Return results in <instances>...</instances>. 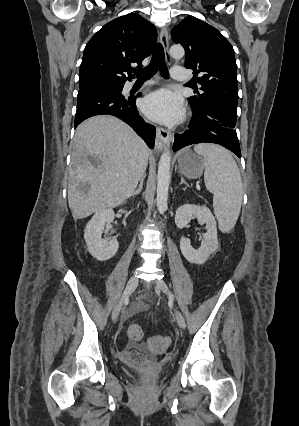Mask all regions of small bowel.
<instances>
[{
	"mask_svg": "<svg viewBox=\"0 0 299 426\" xmlns=\"http://www.w3.org/2000/svg\"><path fill=\"white\" fill-rule=\"evenodd\" d=\"M134 312L146 311V306L142 303H137L134 306ZM119 357L122 361L130 366H144L154 362L151 350L145 345H139L137 342L129 340L124 348L119 351Z\"/></svg>",
	"mask_w": 299,
	"mask_h": 426,
	"instance_id": "obj_1",
	"label": "small bowel"
}]
</instances>
